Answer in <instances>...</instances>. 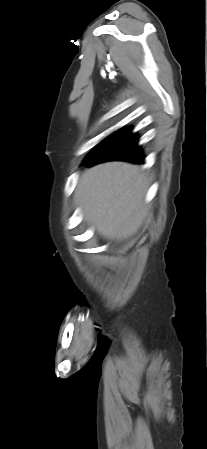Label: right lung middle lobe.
I'll return each instance as SVG.
<instances>
[{
    "mask_svg": "<svg viewBox=\"0 0 207 449\" xmlns=\"http://www.w3.org/2000/svg\"><path fill=\"white\" fill-rule=\"evenodd\" d=\"M120 130L114 132L113 134L109 135L107 138H105L102 142H100L95 149L87 156L86 159L93 156L95 153H97L110 139H112L115 135L119 133Z\"/></svg>",
    "mask_w": 207,
    "mask_h": 449,
    "instance_id": "1",
    "label": "right lung middle lobe"
}]
</instances>
